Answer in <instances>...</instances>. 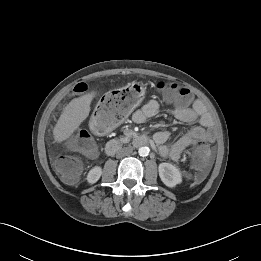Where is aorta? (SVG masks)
I'll return each instance as SVG.
<instances>
[{
	"label": "aorta",
	"mask_w": 261,
	"mask_h": 261,
	"mask_svg": "<svg viewBox=\"0 0 261 261\" xmlns=\"http://www.w3.org/2000/svg\"><path fill=\"white\" fill-rule=\"evenodd\" d=\"M138 153L140 156H147L149 154V148L148 147H140L138 149Z\"/></svg>",
	"instance_id": "aorta-1"
}]
</instances>
